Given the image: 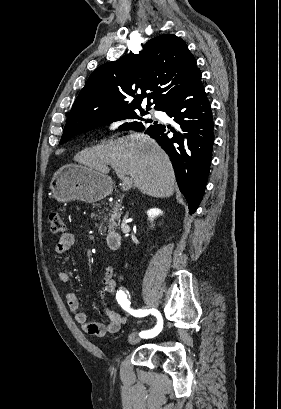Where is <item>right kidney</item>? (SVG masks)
Instances as JSON below:
<instances>
[{
  "instance_id": "obj_1",
  "label": "right kidney",
  "mask_w": 281,
  "mask_h": 409,
  "mask_svg": "<svg viewBox=\"0 0 281 409\" xmlns=\"http://www.w3.org/2000/svg\"><path fill=\"white\" fill-rule=\"evenodd\" d=\"M163 211L161 209H149L147 211L148 217H150L151 221L154 219V217H158V215H162Z\"/></svg>"
}]
</instances>
